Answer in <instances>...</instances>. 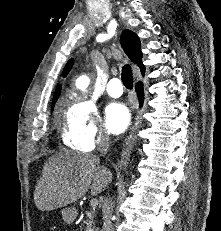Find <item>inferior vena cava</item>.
<instances>
[{
	"mask_svg": "<svg viewBox=\"0 0 221 231\" xmlns=\"http://www.w3.org/2000/svg\"><path fill=\"white\" fill-rule=\"evenodd\" d=\"M109 145H110L109 135L107 133L100 134L98 139V149L102 153V155H105L107 153ZM109 175L112 176L111 173ZM112 210H113V201L110 197H107L105 198L102 206L103 225L101 231H114L113 224L111 221Z\"/></svg>",
	"mask_w": 221,
	"mask_h": 231,
	"instance_id": "1",
	"label": "inferior vena cava"
}]
</instances>
